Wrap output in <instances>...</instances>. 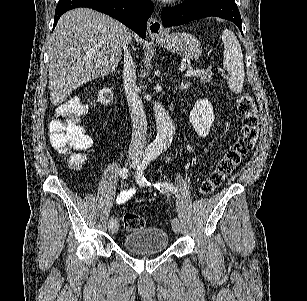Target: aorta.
Wrapping results in <instances>:
<instances>
[{"mask_svg":"<svg viewBox=\"0 0 307 301\" xmlns=\"http://www.w3.org/2000/svg\"><path fill=\"white\" fill-rule=\"evenodd\" d=\"M154 116L157 126V134L154 142H152L149 151L152 153H162L166 144H169L171 138L175 134V126L172 118H170L166 108L161 102L155 100L153 102Z\"/></svg>","mask_w":307,"mask_h":301,"instance_id":"aorta-1","label":"aorta"}]
</instances>
